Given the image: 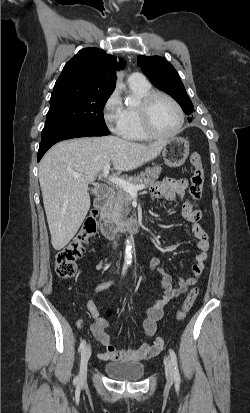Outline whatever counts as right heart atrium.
<instances>
[{
    "instance_id": "right-heart-atrium-1",
    "label": "right heart atrium",
    "mask_w": 250,
    "mask_h": 413,
    "mask_svg": "<svg viewBox=\"0 0 250 413\" xmlns=\"http://www.w3.org/2000/svg\"><path fill=\"white\" fill-rule=\"evenodd\" d=\"M102 113L108 129L115 134L122 135L125 124V109L117 91H113L106 99Z\"/></svg>"
}]
</instances>
